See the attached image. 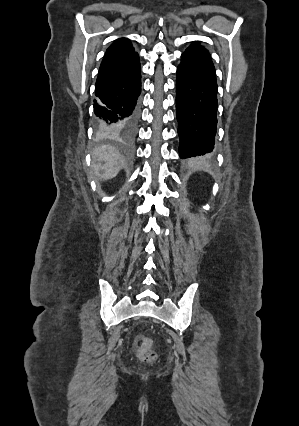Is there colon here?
<instances>
[{"label": "colon", "mask_w": 299, "mask_h": 426, "mask_svg": "<svg viewBox=\"0 0 299 426\" xmlns=\"http://www.w3.org/2000/svg\"><path fill=\"white\" fill-rule=\"evenodd\" d=\"M152 340L149 338H142L141 347L139 350V357L142 361L151 363L153 362L157 355L152 348Z\"/></svg>", "instance_id": "colon-1"}]
</instances>
